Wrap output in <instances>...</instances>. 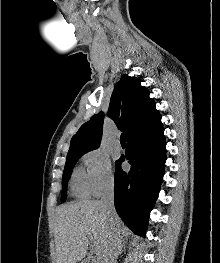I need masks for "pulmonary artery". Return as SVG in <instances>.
Instances as JSON below:
<instances>
[{
    "instance_id": "pulmonary-artery-1",
    "label": "pulmonary artery",
    "mask_w": 220,
    "mask_h": 263,
    "mask_svg": "<svg viewBox=\"0 0 220 263\" xmlns=\"http://www.w3.org/2000/svg\"><path fill=\"white\" fill-rule=\"evenodd\" d=\"M115 148H117V149H120L121 148V143H120V140H119V138L118 139H116V141H115Z\"/></svg>"
}]
</instances>
